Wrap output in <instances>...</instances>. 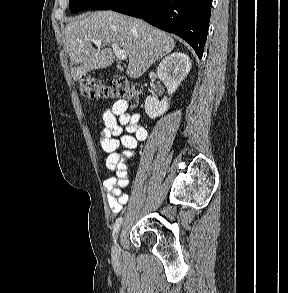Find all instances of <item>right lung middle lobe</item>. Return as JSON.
Segmentation results:
<instances>
[{
    "label": "right lung middle lobe",
    "instance_id": "right-lung-middle-lobe-1",
    "mask_svg": "<svg viewBox=\"0 0 288 293\" xmlns=\"http://www.w3.org/2000/svg\"><path fill=\"white\" fill-rule=\"evenodd\" d=\"M123 0H69V9L76 13L84 9L109 10Z\"/></svg>",
    "mask_w": 288,
    "mask_h": 293
}]
</instances>
